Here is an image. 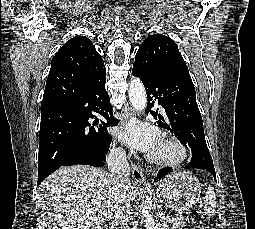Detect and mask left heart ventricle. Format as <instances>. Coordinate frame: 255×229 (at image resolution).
Segmentation results:
<instances>
[{
	"label": "left heart ventricle",
	"mask_w": 255,
	"mask_h": 229,
	"mask_svg": "<svg viewBox=\"0 0 255 229\" xmlns=\"http://www.w3.org/2000/svg\"><path fill=\"white\" fill-rule=\"evenodd\" d=\"M154 153L155 154H170L171 150L167 146L161 144L160 142L159 146L157 147Z\"/></svg>",
	"instance_id": "left-heart-ventricle-1"
}]
</instances>
